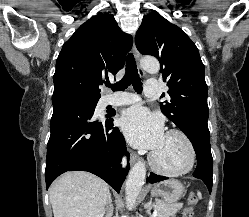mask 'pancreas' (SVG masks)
<instances>
[{"label": "pancreas", "instance_id": "obj_1", "mask_svg": "<svg viewBox=\"0 0 249 217\" xmlns=\"http://www.w3.org/2000/svg\"><path fill=\"white\" fill-rule=\"evenodd\" d=\"M183 207L182 203L167 204L162 200H157L154 203V208L157 210V217H171Z\"/></svg>", "mask_w": 249, "mask_h": 217}]
</instances>
